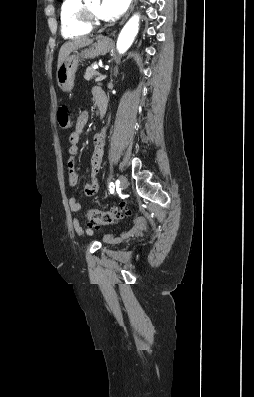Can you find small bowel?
Returning <instances> with one entry per match:
<instances>
[{
    "mask_svg": "<svg viewBox=\"0 0 254 397\" xmlns=\"http://www.w3.org/2000/svg\"><path fill=\"white\" fill-rule=\"evenodd\" d=\"M103 94L104 92L100 88L95 87L93 89V96L95 98L96 103L98 98ZM88 120H89L88 112L82 111L76 119L75 129L69 135L70 146L68 151L70 154V158L68 160L67 167H68V181H69V185L72 188H75L78 185V173L76 170V158L79 153L78 143L80 141V137L83 132V129L88 123ZM93 140H94V150L91 157V171H90L89 179L84 186V193L86 196H93L94 194L97 193L99 189L98 175L100 172L103 154H104V148L106 145V127H104L100 132L96 133L93 137ZM69 206L72 212H80L84 209V205L80 201H78L77 198L74 196H71L69 198ZM73 228L75 232L80 236L93 234V230L91 228L84 227L78 218H75L73 220ZM136 229L137 226L135 225L132 229L124 232L121 238H126L131 236L136 231ZM107 239L109 241H116L119 240L120 238L110 235L107 237Z\"/></svg>",
    "mask_w": 254,
    "mask_h": 397,
    "instance_id": "obj_1",
    "label": "small bowel"
}]
</instances>
